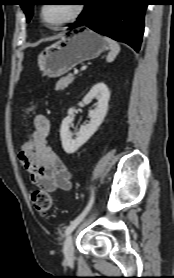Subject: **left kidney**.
I'll return each mask as SVG.
<instances>
[{
  "label": "left kidney",
  "mask_w": 174,
  "mask_h": 278,
  "mask_svg": "<svg viewBox=\"0 0 174 278\" xmlns=\"http://www.w3.org/2000/svg\"><path fill=\"white\" fill-rule=\"evenodd\" d=\"M97 99L96 108L89 112L90 122L80 127V130L76 138L72 137L69 130V125L73 121V113L75 108L68 110V116L64 118L60 128V137L62 141V147L68 154L76 152L83 144H85L89 138L97 131L98 127L103 122L107 110L108 101L110 99V91L108 87L100 82L95 84L88 94L83 98V103H90L93 99Z\"/></svg>",
  "instance_id": "1"
}]
</instances>
